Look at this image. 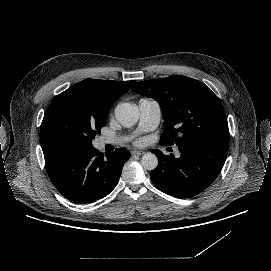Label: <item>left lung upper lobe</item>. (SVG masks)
<instances>
[{
    "mask_svg": "<svg viewBox=\"0 0 271 271\" xmlns=\"http://www.w3.org/2000/svg\"><path fill=\"white\" fill-rule=\"evenodd\" d=\"M132 90L161 105L165 126L161 145H192L201 138L229 141L224 109L217 96L202 82L174 75L138 82Z\"/></svg>",
    "mask_w": 271,
    "mask_h": 271,
    "instance_id": "5c2ea615",
    "label": "left lung upper lobe"
}]
</instances>
